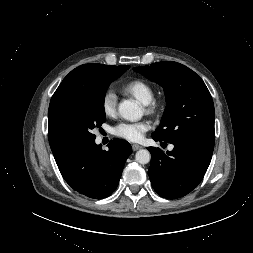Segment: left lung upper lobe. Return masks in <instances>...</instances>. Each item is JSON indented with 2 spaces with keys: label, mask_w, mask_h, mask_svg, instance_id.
<instances>
[{
  "label": "left lung upper lobe",
  "mask_w": 253,
  "mask_h": 253,
  "mask_svg": "<svg viewBox=\"0 0 253 253\" xmlns=\"http://www.w3.org/2000/svg\"><path fill=\"white\" fill-rule=\"evenodd\" d=\"M133 70L161 85L165 92L166 110L152 137L168 143L194 142L214 148L213 100L194 71L168 61L134 67Z\"/></svg>",
  "instance_id": "obj_1"
}]
</instances>
